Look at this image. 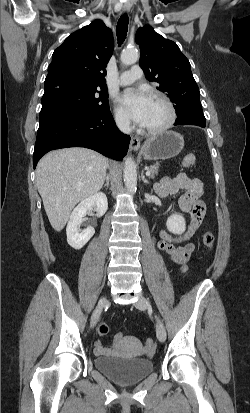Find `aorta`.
I'll return each instance as SVG.
<instances>
[{"label":"aorta","instance_id":"aorta-1","mask_svg":"<svg viewBox=\"0 0 250 413\" xmlns=\"http://www.w3.org/2000/svg\"><path fill=\"white\" fill-rule=\"evenodd\" d=\"M139 58L136 49H126L121 53V62L124 65H132L137 62ZM124 183L129 193L136 192L137 189V173L136 165L131 157L125 159L124 165Z\"/></svg>","mask_w":250,"mask_h":413}]
</instances>
